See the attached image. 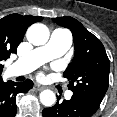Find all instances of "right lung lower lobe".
I'll return each mask as SVG.
<instances>
[{
  "instance_id": "right-lung-lower-lobe-1",
  "label": "right lung lower lobe",
  "mask_w": 117,
  "mask_h": 117,
  "mask_svg": "<svg viewBox=\"0 0 117 117\" xmlns=\"http://www.w3.org/2000/svg\"><path fill=\"white\" fill-rule=\"evenodd\" d=\"M33 87V82L27 79L24 82L16 83L0 81V117H15L17 112L16 96L19 93H26Z\"/></svg>"
}]
</instances>
